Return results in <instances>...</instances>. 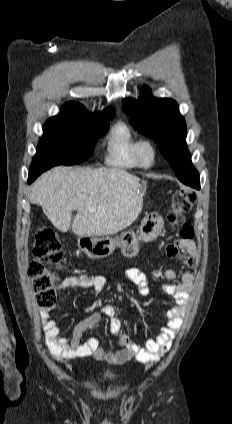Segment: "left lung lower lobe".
I'll use <instances>...</instances> for the list:
<instances>
[{
  "mask_svg": "<svg viewBox=\"0 0 232 424\" xmlns=\"http://www.w3.org/2000/svg\"><path fill=\"white\" fill-rule=\"evenodd\" d=\"M181 182L196 189L200 188V181L197 173L192 174L189 177L181 180Z\"/></svg>",
  "mask_w": 232,
  "mask_h": 424,
  "instance_id": "0a47b994",
  "label": "left lung lower lobe"
}]
</instances>
